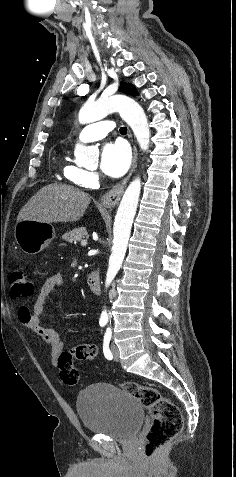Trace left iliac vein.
Returning a JSON list of instances; mask_svg holds the SVG:
<instances>
[{
	"label": "left iliac vein",
	"mask_w": 236,
	"mask_h": 477,
	"mask_svg": "<svg viewBox=\"0 0 236 477\" xmlns=\"http://www.w3.org/2000/svg\"><path fill=\"white\" fill-rule=\"evenodd\" d=\"M111 350H112L114 359L116 361H118L119 360V350H118V347L114 343L111 345Z\"/></svg>",
	"instance_id": "obj_1"
}]
</instances>
